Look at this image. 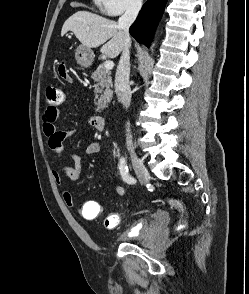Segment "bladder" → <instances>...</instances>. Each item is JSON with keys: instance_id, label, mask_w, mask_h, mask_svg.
Listing matches in <instances>:
<instances>
[{"instance_id": "bladder-1", "label": "bladder", "mask_w": 249, "mask_h": 294, "mask_svg": "<svg viewBox=\"0 0 249 294\" xmlns=\"http://www.w3.org/2000/svg\"><path fill=\"white\" fill-rule=\"evenodd\" d=\"M168 221L169 216L167 214L157 216L153 221L146 218H140L129 230L121 233L118 239L122 242H128L130 240L142 241L155 233Z\"/></svg>"}]
</instances>
